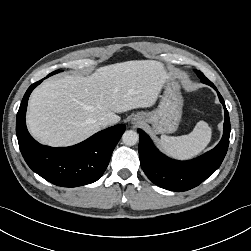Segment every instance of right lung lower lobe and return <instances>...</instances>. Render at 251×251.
Instances as JSON below:
<instances>
[{"label":"right lung lower lobe","instance_id":"right-lung-lower-lobe-1","mask_svg":"<svg viewBox=\"0 0 251 251\" xmlns=\"http://www.w3.org/2000/svg\"><path fill=\"white\" fill-rule=\"evenodd\" d=\"M41 82L28 88L16 118L19 148L26 163L38 175L58 186L77 187L97 181L106 170L126 126L119 124L107 128L71 147L53 148L39 144L26 128L25 114L28 98Z\"/></svg>","mask_w":251,"mask_h":251}]
</instances>
